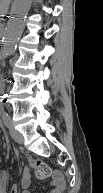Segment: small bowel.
Instances as JSON below:
<instances>
[{
	"label": "small bowel",
	"instance_id": "small-bowel-1",
	"mask_svg": "<svg viewBox=\"0 0 103 193\" xmlns=\"http://www.w3.org/2000/svg\"><path fill=\"white\" fill-rule=\"evenodd\" d=\"M0 183H1V191L2 193L7 192L8 183H9V173L6 171H3L0 174ZM64 180L59 173H55L53 176L50 187L47 191V193H62L64 189ZM22 187L23 192L22 193H31L30 191V170L28 168H24L22 172ZM10 193H19L18 188L16 185H13L11 187Z\"/></svg>",
	"mask_w": 103,
	"mask_h": 193
}]
</instances>
